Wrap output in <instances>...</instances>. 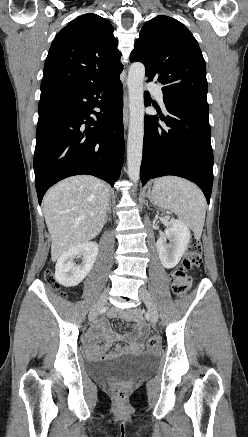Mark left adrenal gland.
Masks as SVG:
<instances>
[{
	"mask_svg": "<svg viewBox=\"0 0 248 437\" xmlns=\"http://www.w3.org/2000/svg\"><path fill=\"white\" fill-rule=\"evenodd\" d=\"M147 197H148L149 200L152 202V200H151V196H150V191H148V193H147Z\"/></svg>",
	"mask_w": 248,
	"mask_h": 437,
	"instance_id": "obj_1",
	"label": "left adrenal gland"
}]
</instances>
